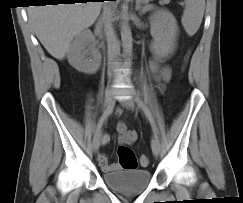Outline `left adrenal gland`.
<instances>
[{"instance_id":"obj_1","label":"left adrenal gland","mask_w":243,"mask_h":203,"mask_svg":"<svg viewBox=\"0 0 243 203\" xmlns=\"http://www.w3.org/2000/svg\"><path fill=\"white\" fill-rule=\"evenodd\" d=\"M144 12H140V15H142Z\"/></svg>"}]
</instances>
